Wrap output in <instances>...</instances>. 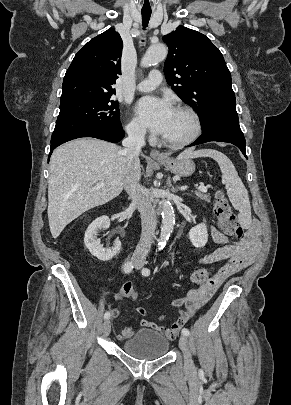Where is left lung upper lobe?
I'll list each match as a JSON object with an SVG mask.
<instances>
[{
  "instance_id": "obj_1",
  "label": "left lung upper lobe",
  "mask_w": 291,
  "mask_h": 405,
  "mask_svg": "<svg viewBox=\"0 0 291 405\" xmlns=\"http://www.w3.org/2000/svg\"><path fill=\"white\" fill-rule=\"evenodd\" d=\"M163 40L169 47L164 64L166 80L196 110L203 131L223 119L238 120L230 71L210 39L178 26Z\"/></svg>"
}]
</instances>
